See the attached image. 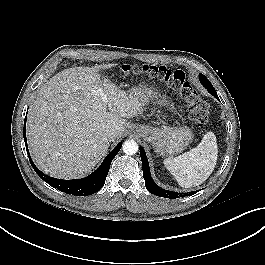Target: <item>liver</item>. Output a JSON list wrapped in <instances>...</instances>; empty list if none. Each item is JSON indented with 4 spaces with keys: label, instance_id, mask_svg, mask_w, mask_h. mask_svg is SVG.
<instances>
[{
    "label": "liver",
    "instance_id": "obj_1",
    "mask_svg": "<svg viewBox=\"0 0 265 265\" xmlns=\"http://www.w3.org/2000/svg\"><path fill=\"white\" fill-rule=\"evenodd\" d=\"M113 66L65 69L38 90L28 113L27 139L44 173L75 179L91 171L112 141L107 130L115 129L116 138L121 137L130 126L127 119L143 114V104L132 92L99 73ZM99 89L107 97L106 104Z\"/></svg>",
    "mask_w": 265,
    "mask_h": 265
}]
</instances>
